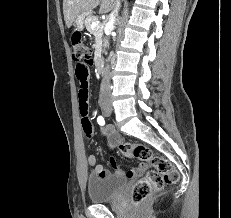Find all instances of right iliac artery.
Here are the masks:
<instances>
[{
	"mask_svg": "<svg viewBox=\"0 0 231 218\" xmlns=\"http://www.w3.org/2000/svg\"><path fill=\"white\" fill-rule=\"evenodd\" d=\"M97 122H98L99 125H104L105 124V120H104V118L102 116H99L97 118Z\"/></svg>",
	"mask_w": 231,
	"mask_h": 218,
	"instance_id": "right-iliac-artery-1",
	"label": "right iliac artery"
}]
</instances>
